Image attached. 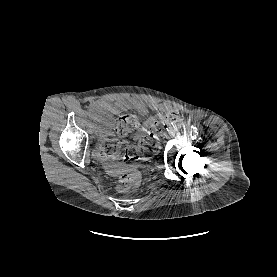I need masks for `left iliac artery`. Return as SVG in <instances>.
I'll list each match as a JSON object with an SVG mask.
<instances>
[{
    "label": "left iliac artery",
    "instance_id": "obj_1",
    "mask_svg": "<svg viewBox=\"0 0 277 277\" xmlns=\"http://www.w3.org/2000/svg\"><path fill=\"white\" fill-rule=\"evenodd\" d=\"M174 127L178 130V129H180L182 127V124L181 123H176L174 125Z\"/></svg>",
    "mask_w": 277,
    "mask_h": 277
}]
</instances>
